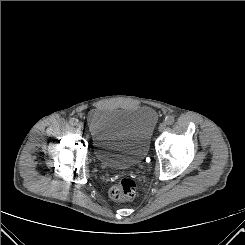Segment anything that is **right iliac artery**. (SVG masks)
I'll use <instances>...</instances> for the list:
<instances>
[{
	"mask_svg": "<svg viewBox=\"0 0 245 245\" xmlns=\"http://www.w3.org/2000/svg\"><path fill=\"white\" fill-rule=\"evenodd\" d=\"M69 123H70V125L75 126V125H77L78 120L75 119V118H71V119L69 120Z\"/></svg>",
	"mask_w": 245,
	"mask_h": 245,
	"instance_id": "obj_1",
	"label": "right iliac artery"
}]
</instances>
